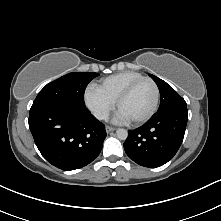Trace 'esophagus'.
I'll list each match as a JSON object with an SVG mask.
<instances>
[{
  "label": "esophagus",
  "mask_w": 221,
  "mask_h": 221,
  "mask_svg": "<svg viewBox=\"0 0 221 221\" xmlns=\"http://www.w3.org/2000/svg\"><path fill=\"white\" fill-rule=\"evenodd\" d=\"M106 132L107 133H110V132H112V131H114L115 130V128L114 127H111V126H106Z\"/></svg>",
  "instance_id": "obj_1"
}]
</instances>
